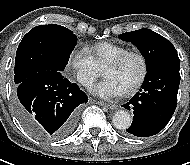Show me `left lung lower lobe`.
Instances as JSON below:
<instances>
[{
  "label": "left lung lower lobe",
  "mask_w": 190,
  "mask_h": 165,
  "mask_svg": "<svg viewBox=\"0 0 190 165\" xmlns=\"http://www.w3.org/2000/svg\"><path fill=\"white\" fill-rule=\"evenodd\" d=\"M180 60L162 62L147 70L139 92L126 104L133 109V122L126 131L134 136L148 137L160 132L176 109L180 83Z\"/></svg>",
  "instance_id": "1"
}]
</instances>
